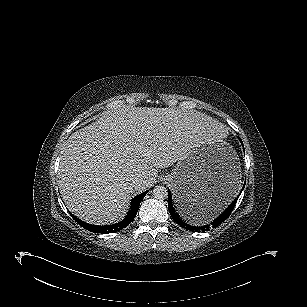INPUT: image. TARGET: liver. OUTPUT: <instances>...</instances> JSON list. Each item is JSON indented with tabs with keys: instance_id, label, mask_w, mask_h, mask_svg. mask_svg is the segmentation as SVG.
Wrapping results in <instances>:
<instances>
[{
	"instance_id": "liver-1",
	"label": "liver",
	"mask_w": 307,
	"mask_h": 307,
	"mask_svg": "<svg viewBox=\"0 0 307 307\" xmlns=\"http://www.w3.org/2000/svg\"><path fill=\"white\" fill-rule=\"evenodd\" d=\"M222 135L220 123L200 112L147 107L106 111L66 141L58 172L62 198L87 223H116L126 215L133 194L154 184L158 169ZM136 178L144 183L133 188Z\"/></svg>"
}]
</instances>
